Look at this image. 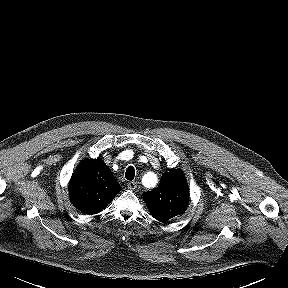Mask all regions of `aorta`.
<instances>
[{"label": "aorta", "mask_w": 288, "mask_h": 288, "mask_svg": "<svg viewBox=\"0 0 288 288\" xmlns=\"http://www.w3.org/2000/svg\"><path fill=\"white\" fill-rule=\"evenodd\" d=\"M146 177H147L146 180L149 179L151 186H155V185H156V183H157V177H156L155 174H153V173H148V174L146 175Z\"/></svg>", "instance_id": "1"}]
</instances>
